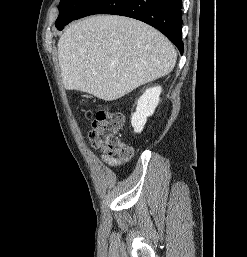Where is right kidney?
<instances>
[{"instance_id":"1","label":"right kidney","mask_w":247,"mask_h":257,"mask_svg":"<svg viewBox=\"0 0 247 257\" xmlns=\"http://www.w3.org/2000/svg\"><path fill=\"white\" fill-rule=\"evenodd\" d=\"M161 91V86L150 87L138 99L136 112L132 114L131 118V124L135 133H140L143 130L147 117L154 113L160 100Z\"/></svg>"}]
</instances>
